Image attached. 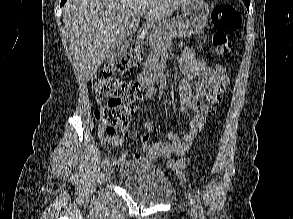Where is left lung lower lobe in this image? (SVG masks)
I'll use <instances>...</instances> for the list:
<instances>
[{"label": "left lung lower lobe", "instance_id": "left-lung-lower-lobe-1", "mask_svg": "<svg viewBox=\"0 0 293 219\" xmlns=\"http://www.w3.org/2000/svg\"><path fill=\"white\" fill-rule=\"evenodd\" d=\"M247 9L249 10L250 0H243Z\"/></svg>", "mask_w": 293, "mask_h": 219}]
</instances>
